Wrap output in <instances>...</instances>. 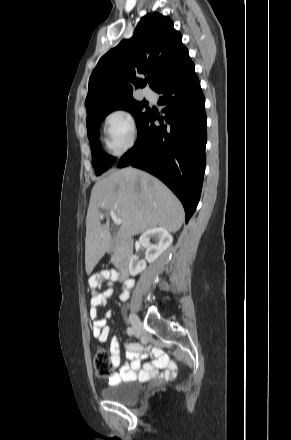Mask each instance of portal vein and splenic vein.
Returning <instances> with one entry per match:
<instances>
[{"label":"portal vein and splenic vein","mask_w":291,"mask_h":440,"mask_svg":"<svg viewBox=\"0 0 291 440\" xmlns=\"http://www.w3.org/2000/svg\"><path fill=\"white\" fill-rule=\"evenodd\" d=\"M109 213H110V216H111V218H112L114 224H116V225H121L122 221H121V219L117 218L115 212L112 211V210H110Z\"/></svg>","instance_id":"portal-vein-and-splenic-vein-1"}]
</instances>
